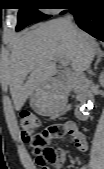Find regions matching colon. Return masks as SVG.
<instances>
[{
	"mask_svg": "<svg viewBox=\"0 0 104 169\" xmlns=\"http://www.w3.org/2000/svg\"><path fill=\"white\" fill-rule=\"evenodd\" d=\"M19 126L22 138L34 150L37 167L39 169L56 168L59 162V154L50 146V142L68 135L67 126L64 123L52 124L39 132L40 120L30 112L20 115Z\"/></svg>",
	"mask_w": 104,
	"mask_h": 169,
	"instance_id": "colon-1",
	"label": "colon"
}]
</instances>
